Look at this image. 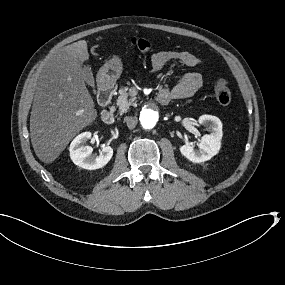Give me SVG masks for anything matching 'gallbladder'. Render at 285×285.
Returning a JSON list of instances; mask_svg holds the SVG:
<instances>
[{
  "label": "gallbladder",
  "instance_id": "1",
  "mask_svg": "<svg viewBox=\"0 0 285 285\" xmlns=\"http://www.w3.org/2000/svg\"><path fill=\"white\" fill-rule=\"evenodd\" d=\"M82 73H83L84 80L87 83L94 81L93 73L89 66H84L82 69Z\"/></svg>",
  "mask_w": 285,
  "mask_h": 285
}]
</instances>
